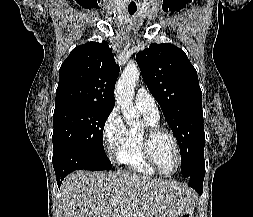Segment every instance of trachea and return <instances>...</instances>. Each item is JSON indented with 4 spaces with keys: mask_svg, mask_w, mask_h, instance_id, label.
Instances as JSON below:
<instances>
[{
    "mask_svg": "<svg viewBox=\"0 0 253 217\" xmlns=\"http://www.w3.org/2000/svg\"><path fill=\"white\" fill-rule=\"evenodd\" d=\"M137 11V8H128V12L130 15H133Z\"/></svg>",
    "mask_w": 253,
    "mask_h": 217,
    "instance_id": "1",
    "label": "trachea"
}]
</instances>
